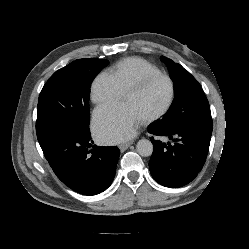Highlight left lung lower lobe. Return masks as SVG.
I'll return each instance as SVG.
<instances>
[{"instance_id":"1","label":"left lung lower lobe","mask_w":249,"mask_h":249,"mask_svg":"<svg viewBox=\"0 0 249 249\" xmlns=\"http://www.w3.org/2000/svg\"><path fill=\"white\" fill-rule=\"evenodd\" d=\"M212 124L186 129L167 130L158 122L148 132L168 136L174 143H162L151 138L154 146L149 161L153 178L166 187H181L190 183L201 171L210 145Z\"/></svg>"}]
</instances>
